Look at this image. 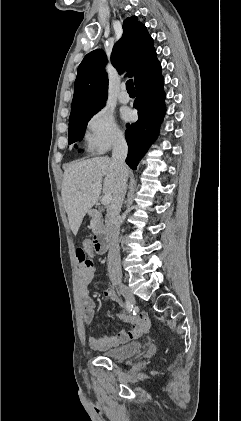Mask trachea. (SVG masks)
Instances as JSON below:
<instances>
[{"mask_svg":"<svg viewBox=\"0 0 241 421\" xmlns=\"http://www.w3.org/2000/svg\"><path fill=\"white\" fill-rule=\"evenodd\" d=\"M126 89H127L128 92H135V87H134V84H133V80L132 79H129L126 82Z\"/></svg>","mask_w":241,"mask_h":421,"instance_id":"3493384b","label":"trachea"}]
</instances>
